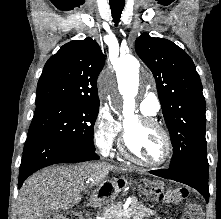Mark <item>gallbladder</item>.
I'll list each match as a JSON object with an SVG mask.
<instances>
[{"mask_svg":"<svg viewBox=\"0 0 221 219\" xmlns=\"http://www.w3.org/2000/svg\"><path fill=\"white\" fill-rule=\"evenodd\" d=\"M43 219H63L60 210H48Z\"/></svg>","mask_w":221,"mask_h":219,"instance_id":"bac80fb5","label":"gallbladder"}]
</instances>
